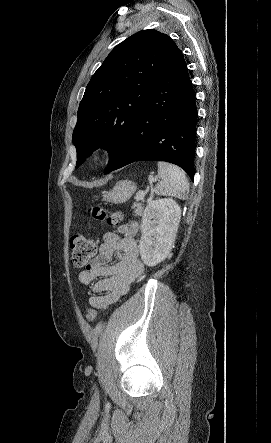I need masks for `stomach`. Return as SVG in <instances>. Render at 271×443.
Returning <instances> with one entry per match:
<instances>
[{
  "mask_svg": "<svg viewBox=\"0 0 271 443\" xmlns=\"http://www.w3.org/2000/svg\"><path fill=\"white\" fill-rule=\"evenodd\" d=\"M135 190H137L134 182L129 180H121L115 184L111 192H105L103 198L105 202H111V204H124L127 200H130Z\"/></svg>",
  "mask_w": 271,
  "mask_h": 443,
  "instance_id": "1",
  "label": "stomach"
}]
</instances>
